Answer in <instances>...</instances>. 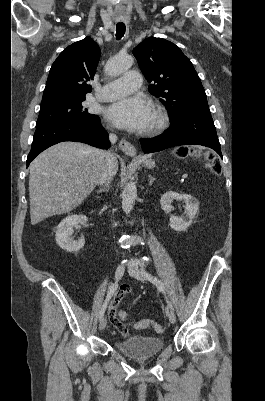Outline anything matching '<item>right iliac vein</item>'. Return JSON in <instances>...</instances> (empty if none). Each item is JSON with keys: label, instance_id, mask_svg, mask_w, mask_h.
Listing matches in <instances>:
<instances>
[{"label": "right iliac vein", "instance_id": "63e3f726", "mask_svg": "<svg viewBox=\"0 0 265 401\" xmlns=\"http://www.w3.org/2000/svg\"><path fill=\"white\" fill-rule=\"evenodd\" d=\"M125 272V266L124 265H119L115 271V279L118 281L120 280ZM106 319L104 317L101 318L100 323H99V329L102 331L106 327Z\"/></svg>", "mask_w": 265, "mask_h": 401}]
</instances>
